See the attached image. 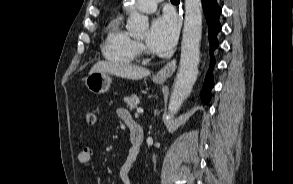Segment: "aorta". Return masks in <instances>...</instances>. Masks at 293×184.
<instances>
[{
    "label": "aorta",
    "instance_id": "762f6f07",
    "mask_svg": "<svg viewBox=\"0 0 293 184\" xmlns=\"http://www.w3.org/2000/svg\"><path fill=\"white\" fill-rule=\"evenodd\" d=\"M130 9L127 30L132 35L144 34L149 27L148 19L135 11L134 0H124ZM202 34L201 0H185V22L178 73L169 101V114H176L190 95L197 79Z\"/></svg>",
    "mask_w": 293,
    "mask_h": 184
}]
</instances>
